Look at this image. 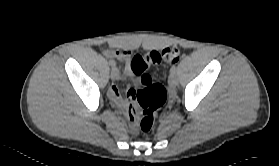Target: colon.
<instances>
[{
    "instance_id": "1",
    "label": "colon",
    "mask_w": 279,
    "mask_h": 166,
    "mask_svg": "<svg viewBox=\"0 0 279 166\" xmlns=\"http://www.w3.org/2000/svg\"><path fill=\"white\" fill-rule=\"evenodd\" d=\"M182 54L178 47L171 46L162 51H151L144 55H136L131 61V71L139 76L143 88L133 95L134 115L137 113V106L142 111L139 127L143 132L150 131L155 123L158 110L164 105L167 93L166 89L152 81L151 76L146 72L147 69L161 61L176 63Z\"/></svg>"
}]
</instances>
